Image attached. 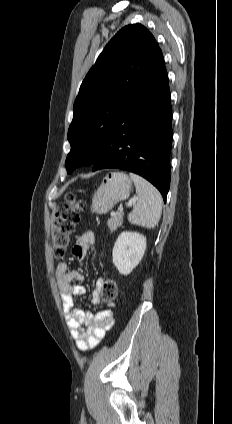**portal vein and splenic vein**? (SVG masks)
Returning <instances> with one entry per match:
<instances>
[{
    "mask_svg": "<svg viewBox=\"0 0 232 424\" xmlns=\"http://www.w3.org/2000/svg\"><path fill=\"white\" fill-rule=\"evenodd\" d=\"M137 201V198H132L129 202H128V207H131L133 204H135V202ZM119 212H123V206L120 205L118 208ZM111 215H114V213H112Z\"/></svg>",
    "mask_w": 232,
    "mask_h": 424,
    "instance_id": "obj_1",
    "label": "portal vein and splenic vein"
}]
</instances>
